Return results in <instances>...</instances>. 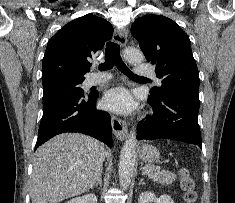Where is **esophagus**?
<instances>
[{
	"label": "esophagus",
	"mask_w": 235,
	"mask_h": 203,
	"mask_svg": "<svg viewBox=\"0 0 235 203\" xmlns=\"http://www.w3.org/2000/svg\"><path fill=\"white\" fill-rule=\"evenodd\" d=\"M128 31L126 29H115L113 34V42L124 47L127 42ZM112 130L116 138L120 141L124 140L128 132V126L126 121L111 116Z\"/></svg>",
	"instance_id": "34e87169"
}]
</instances>
